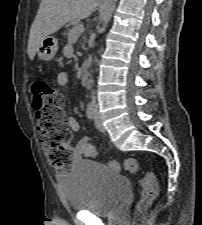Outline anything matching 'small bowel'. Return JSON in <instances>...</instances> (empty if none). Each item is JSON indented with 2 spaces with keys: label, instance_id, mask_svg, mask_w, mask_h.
<instances>
[{
  "label": "small bowel",
  "instance_id": "small-bowel-1",
  "mask_svg": "<svg viewBox=\"0 0 202 225\" xmlns=\"http://www.w3.org/2000/svg\"><path fill=\"white\" fill-rule=\"evenodd\" d=\"M70 80V74L68 72H60L57 76V83L59 86H65ZM68 126L71 132H78L80 130L79 120L75 117H69L67 119ZM97 156L95 147L90 143V139L85 137L81 138L75 148L73 158L77 159H95Z\"/></svg>",
  "mask_w": 202,
  "mask_h": 225
}]
</instances>
